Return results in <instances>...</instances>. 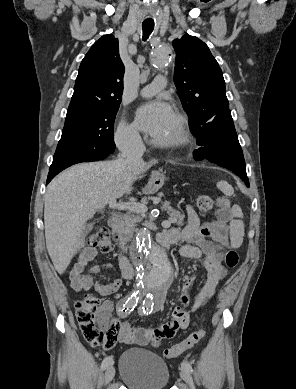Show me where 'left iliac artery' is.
I'll list each match as a JSON object with an SVG mask.
<instances>
[{"mask_svg":"<svg viewBox=\"0 0 296 389\" xmlns=\"http://www.w3.org/2000/svg\"><path fill=\"white\" fill-rule=\"evenodd\" d=\"M149 296H150V294H149ZM147 298H148V294H147ZM151 299H152V297H151ZM151 311H152V309L150 310V303L147 301V299H146V301L144 300L141 313L148 314V312L151 313ZM181 366H182V368L187 369L189 372H193V369H192V366L190 365V363L183 361Z\"/></svg>","mask_w":296,"mask_h":389,"instance_id":"obj_1","label":"left iliac artery"}]
</instances>
